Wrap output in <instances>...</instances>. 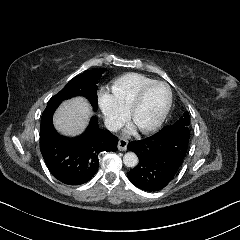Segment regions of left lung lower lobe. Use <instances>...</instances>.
<instances>
[{
  "instance_id": "0a47b994",
  "label": "left lung lower lobe",
  "mask_w": 240,
  "mask_h": 240,
  "mask_svg": "<svg viewBox=\"0 0 240 240\" xmlns=\"http://www.w3.org/2000/svg\"><path fill=\"white\" fill-rule=\"evenodd\" d=\"M190 134L170 128L128 144L139 158L138 165L127 173L130 182L141 190L163 189L174 178L187 152Z\"/></svg>"
}]
</instances>
